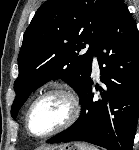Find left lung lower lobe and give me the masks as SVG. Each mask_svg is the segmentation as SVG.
Segmentation results:
<instances>
[{"label":"left lung lower lobe","mask_w":139,"mask_h":150,"mask_svg":"<svg viewBox=\"0 0 139 150\" xmlns=\"http://www.w3.org/2000/svg\"><path fill=\"white\" fill-rule=\"evenodd\" d=\"M94 54L104 87L95 96L89 76L79 94L80 117L47 143L85 141L108 150H132L139 116V32L122 0L114 2Z\"/></svg>","instance_id":"obj_1"}]
</instances>
